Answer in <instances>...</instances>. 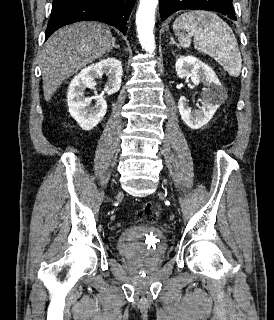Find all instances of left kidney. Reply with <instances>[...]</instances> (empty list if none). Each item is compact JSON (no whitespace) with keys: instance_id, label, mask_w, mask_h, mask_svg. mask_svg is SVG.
<instances>
[{"instance_id":"obj_1","label":"left kidney","mask_w":274,"mask_h":320,"mask_svg":"<svg viewBox=\"0 0 274 320\" xmlns=\"http://www.w3.org/2000/svg\"><path fill=\"white\" fill-rule=\"evenodd\" d=\"M175 68L179 78H187V76H190L193 84L202 82L204 86H207L206 90L201 94L202 106H200L198 112H194V110L190 108L185 96H181L178 102V110L183 122H185L191 130H200L202 126L210 122L219 106L224 104L226 100V90L221 86L212 68H209L207 64H204V62H201L198 58L182 56V58L176 60Z\"/></svg>"}]
</instances>
